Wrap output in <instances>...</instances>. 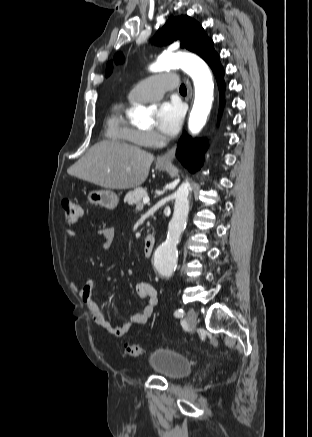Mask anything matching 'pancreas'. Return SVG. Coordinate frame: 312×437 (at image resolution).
<instances>
[{
    "label": "pancreas",
    "mask_w": 312,
    "mask_h": 437,
    "mask_svg": "<svg viewBox=\"0 0 312 437\" xmlns=\"http://www.w3.org/2000/svg\"><path fill=\"white\" fill-rule=\"evenodd\" d=\"M147 196V189L146 188H136L133 191H130L126 194L124 198V202L128 205H136L141 206L142 199Z\"/></svg>",
    "instance_id": "pancreas-1"
}]
</instances>
